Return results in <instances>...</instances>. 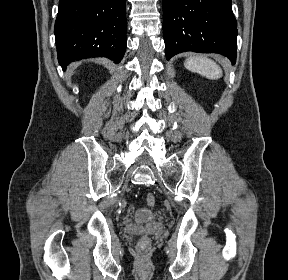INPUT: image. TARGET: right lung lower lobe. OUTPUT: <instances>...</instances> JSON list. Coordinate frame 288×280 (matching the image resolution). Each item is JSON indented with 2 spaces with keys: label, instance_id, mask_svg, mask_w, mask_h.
<instances>
[{
  "label": "right lung lower lobe",
  "instance_id": "98d812e1",
  "mask_svg": "<svg viewBox=\"0 0 288 280\" xmlns=\"http://www.w3.org/2000/svg\"><path fill=\"white\" fill-rule=\"evenodd\" d=\"M126 0H60L54 33L63 70L75 60L107 57L119 63L126 49Z\"/></svg>",
  "mask_w": 288,
  "mask_h": 280
}]
</instances>
